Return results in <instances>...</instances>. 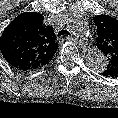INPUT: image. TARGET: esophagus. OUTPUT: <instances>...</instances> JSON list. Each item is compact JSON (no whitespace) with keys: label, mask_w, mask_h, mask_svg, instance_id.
<instances>
[{"label":"esophagus","mask_w":118,"mask_h":118,"mask_svg":"<svg viewBox=\"0 0 118 118\" xmlns=\"http://www.w3.org/2000/svg\"><path fill=\"white\" fill-rule=\"evenodd\" d=\"M66 40H74L76 42L79 43L80 47L83 48L84 50H89L90 49V45L84 41L78 40L77 38L71 37V36H67L65 37Z\"/></svg>","instance_id":"34e87169"}]
</instances>
